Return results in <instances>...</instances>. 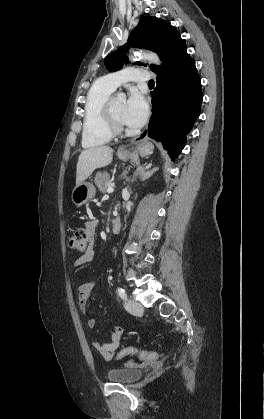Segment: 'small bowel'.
<instances>
[{
    "mask_svg": "<svg viewBox=\"0 0 264 419\" xmlns=\"http://www.w3.org/2000/svg\"><path fill=\"white\" fill-rule=\"evenodd\" d=\"M98 222L95 219H90L85 222V229L88 232V235L91 239L94 238L96 234ZM94 257V248L93 245H90L87 249V251L77 258L74 262L75 266H82L86 263H89L92 261ZM95 289V282L94 279L86 280L83 282H80L78 284L77 290H78V303L79 308L82 313H86L87 311V303ZM87 326L90 329H93L96 326V320L91 318L87 322ZM124 334V329L122 327H116L111 332L109 338L104 341H93L92 346L101 354V356L105 360H111L113 356L117 353V350L121 344V339Z\"/></svg>",
    "mask_w": 264,
    "mask_h": 419,
    "instance_id": "small-bowel-1",
    "label": "small bowel"
}]
</instances>
